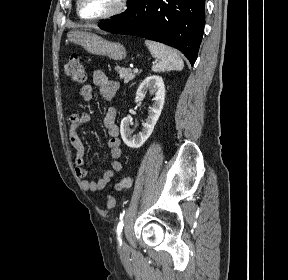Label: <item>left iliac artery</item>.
<instances>
[{"mask_svg":"<svg viewBox=\"0 0 288 280\" xmlns=\"http://www.w3.org/2000/svg\"><path fill=\"white\" fill-rule=\"evenodd\" d=\"M123 226H124V221H123V219H121V221L118 223L117 230H116L117 231V239H118L120 245L122 244L121 233H122Z\"/></svg>","mask_w":288,"mask_h":280,"instance_id":"obj_1","label":"left iliac artery"}]
</instances>
